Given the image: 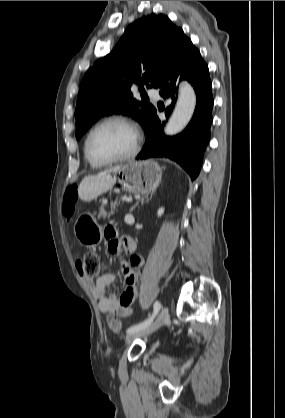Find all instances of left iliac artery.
<instances>
[{"label":"left iliac artery","instance_id":"left-iliac-artery-1","mask_svg":"<svg viewBox=\"0 0 285 418\" xmlns=\"http://www.w3.org/2000/svg\"><path fill=\"white\" fill-rule=\"evenodd\" d=\"M160 309H161V303L159 301H155L153 304V313L149 316V318H147L145 321L139 324L129 327L126 330V332L133 333L135 331L141 330L145 328L146 326H148L150 323H152V321L154 320V318L156 317Z\"/></svg>","mask_w":285,"mask_h":418}]
</instances>
